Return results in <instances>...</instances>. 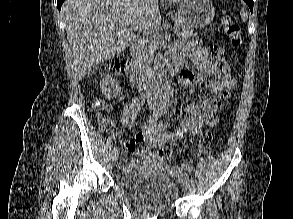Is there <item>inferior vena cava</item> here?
<instances>
[{
    "label": "inferior vena cava",
    "mask_w": 293,
    "mask_h": 219,
    "mask_svg": "<svg viewBox=\"0 0 293 219\" xmlns=\"http://www.w3.org/2000/svg\"><path fill=\"white\" fill-rule=\"evenodd\" d=\"M144 47H145V42L142 44V49L140 52L139 63H138L136 72H138L144 78H151L152 77L151 66H150V63L148 62L146 50ZM153 86L155 87V84H153Z\"/></svg>",
    "instance_id": "inferior-vena-cava-1"
}]
</instances>
